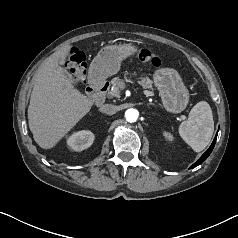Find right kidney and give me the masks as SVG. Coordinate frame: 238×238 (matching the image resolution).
I'll list each match as a JSON object with an SVG mask.
<instances>
[{
	"label": "right kidney",
	"mask_w": 238,
	"mask_h": 238,
	"mask_svg": "<svg viewBox=\"0 0 238 238\" xmlns=\"http://www.w3.org/2000/svg\"><path fill=\"white\" fill-rule=\"evenodd\" d=\"M94 141V134L89 130L73 133L67 139V145L74 151H82L89 148Z\"/></svg>",
	"instance_id": "1"
}]
</instances>
